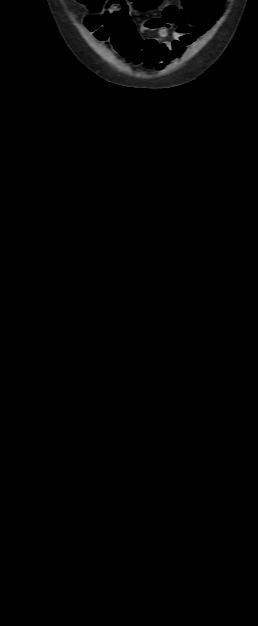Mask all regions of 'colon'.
I'll use <instances>...</instances> for the list:
<instances>
[{"label":"colon","mask_w":258,"mask_h":626,"mask_svg":"<svg viewBox=\"0 0 258 626\" xmlns=\"http://www.w3.org/2000/svg\"><path fill=\"white\" fill-rule=\"evenodd\" d=\"M133 2V4L137 7L143 9H152L159 4L160 0H129ZM79 3L88 6L95 10H102L108 6L107 0H78ZM89 23V29L92 31V28L99 25L100 21L96 16H89L86 18ZM133 27V26H132Z\"/></svg>","instance_id":"obj_1"}]
</instances>
